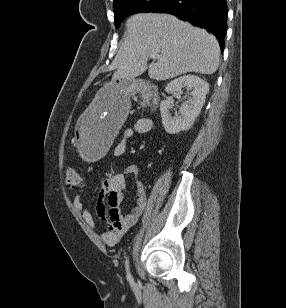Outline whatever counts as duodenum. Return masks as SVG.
Listing matches in <instances>:
<instances>
[{"instance_id": "duodenum-1", "label": "duodenum", "mask_w": 286, "mask_h": 308, "mask_svg": "<svg viewBox=\"0 0 286 308\" xmlns=\"http://www.w3.org/2000/svg\"><path fill=\"white\" fill-rule=\"evenodd\" d=\"M133 89L137 92H145L150 101V108L155 111L159 104V93L157 86L147 80H138L134 83Z\"/></svg>"}]
</instances>
